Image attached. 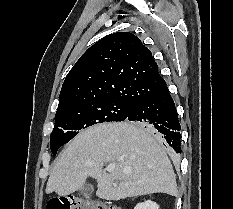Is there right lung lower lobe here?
I'll list each match as a JSON object with an SVG mask.
<instances>
[{
    "mask_svg": "<svg viewBox=\"0 0 233 209\" xmlns=\"http://www.w3.org/2000/svg\"><path fill=\"white\" fill-rule=\"evenodd\" d=\"M134 121L148 125L154 134L161 133L166 142L181 153L180 123L174 101L167 86L154 95L135 104L126 121Z\"/></svg>",
    "mask_w": 233,
    "mask_h": 209,
    "instance_id": "1",
    "label": "right lung lower lobe"
}]
</instances>
